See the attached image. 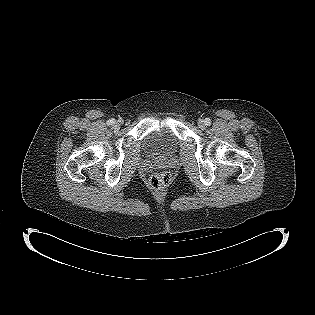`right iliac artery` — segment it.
Segmentation results:
<instances>
[{
    "mask_svg": "<svg viewBox=\"0 0 315 315\" xmlns=\"http://www.w3.org/2000/svg\"><path fill=\"white\" fill-rule=\"evenodd\" d=\"M114 123H115V119H113V118L108 120V122H107L108 125H112Z\"/></svg>",
    "mask_w": 315,
    "mask_h": 315,
    "instance_id": "right-iliac-artery-1",
    "label": "right iliac artery"
}]
</instances>
